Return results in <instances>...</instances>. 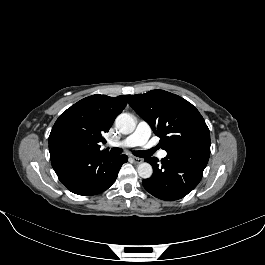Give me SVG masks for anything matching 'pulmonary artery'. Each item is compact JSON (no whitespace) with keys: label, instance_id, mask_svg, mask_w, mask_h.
<instances>
[{"label":"pulmonary artery","instance_id":"obj_1","mask_svg":"<svg viewBox=\"0 0 265 265\" xmlns=\"http://www.w3.org/2000/svg\"><path fill=\"white\" fill-rule=\"evenodd\" d=\"M151 134L150 126L145 122H140L137 125L136 130L129 135L128 137L116 141L111 142V145L118 146L122 148L134 147V146H143L145 148L151 147V143L149 142V137ZM167 153L162 151L160 153V157H165Z\"/></svg>","mask_w":265,"mask_h":265}]
</instances>
